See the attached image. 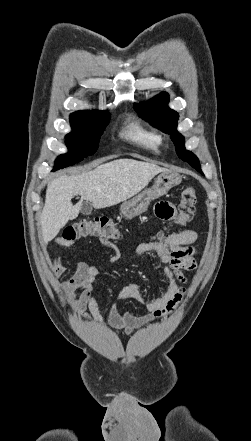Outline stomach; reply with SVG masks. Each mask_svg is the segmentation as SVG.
<instances>
[{"label": "stomach", "instance_id": "obj_1", "mask_svg": "<svg viewBox=\"0 0 251 441\" xmlns=\"http://www.w3.org/2000/svg\"><path fill=\"white\" fill-rule=\"evenodd\" d=\"M182 176L172 170L161 172L154 181L151 188L145 189L130 200L124 201L120 206L121 214L128 219L134 218L148 209L152 200H155L179 185Z\"/></svg>", "mask_w": 251, "mask_h": 441}]
</instances>
